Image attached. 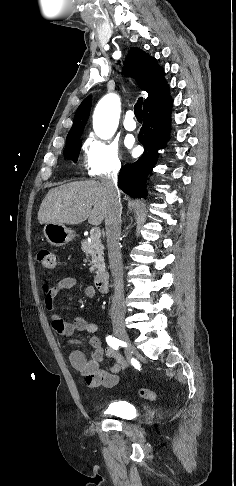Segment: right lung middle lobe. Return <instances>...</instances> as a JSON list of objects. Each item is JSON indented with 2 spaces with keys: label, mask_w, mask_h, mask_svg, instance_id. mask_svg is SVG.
<instances>
[{
  "label": "right lung middle lobe",
  "mask_w": 236,
  "mask_h": 486,
  "mask_svg": "<svg viewBox=\"0 0 236 486\" xmlns=\"http://www.w3.org/2000/svg\"><path fill=\"white\" fill-rule=\"evenodd\" d=\"M81 143L80 139L68 142L64 150L65 158L72 159L76 162L80 153Z\"/></svg>",
  "instance_id": "obj_1"
}]
</instances>
